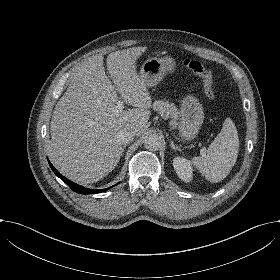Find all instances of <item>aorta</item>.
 Listing matches in <instances>:
<instances>
[{
    "label": "aorta",
    "mask_w": 280,
    "mask_h": 280,
    "mask_svg": "<svg viewBox=\"0 0 280 280\" xmlns=\"http://www.w3.org/2000/svg\"><path fill=\"white\" fill-rule=\"evenodd\" d=\"M144 145L148 150L155 151L162 146V140L157 134H149L144 137Z\"/></svg>",
    "instance_id": "aorta-1"
}]
</instances>
